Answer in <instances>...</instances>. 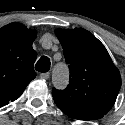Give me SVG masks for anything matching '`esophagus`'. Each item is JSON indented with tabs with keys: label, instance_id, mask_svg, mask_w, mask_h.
<instances>
[{
	"label": "esophagus",
	"instance_id": "34e87169",
	"mask_svg": "<svg viewBox=\"0 0 125 125\" xmlns=\"http://www.w3.org/2000/svg\"><path fill=\"white\" fill-rule=\"evenodd\" d=\"M50 74L49 73H41L40 74V78L41 79H44V80H47L49 78Z\"/></svg>",
	"mask_w": 125,
	"mask_h": 125
}]
</instances>
